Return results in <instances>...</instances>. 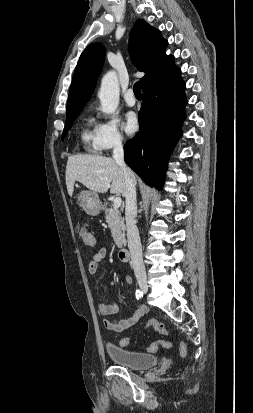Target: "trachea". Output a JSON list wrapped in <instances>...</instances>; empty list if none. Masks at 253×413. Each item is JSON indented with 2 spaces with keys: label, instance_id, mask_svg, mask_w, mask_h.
Instances as JSON below:
<instances>
[{
  "label": "trachea",
  "instance_id": "obj_1",
  "mask_svg": "<svg viewBox=\"0 0 253 413\" xmlns=\"http://www.w3.org/2000/svg\"><path fill=\"white\" fill-rule=\"evenodd\" d=\"M133 91H134V94H135L136 98H141L142 97L141 82L140 81H138L134 84Z\"/></svg>",
  "mask_w": 253,
  "mask_h": 413
}]
</instances>
